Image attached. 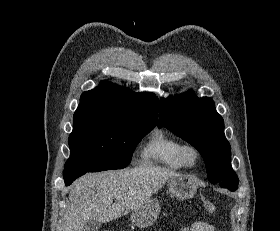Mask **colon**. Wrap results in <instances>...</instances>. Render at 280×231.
I'll return each mask as SVG.
<instances>
[{"label": "colon", "mask_w": 280, "mask_h": 231, "mask_svg": "<svg viewBox=\"0 0 280 231\" xmlns=\"http://www.w3.org/2000/svg\"><path fill=\"white\" fill-rule=\"evenodd\" d=\"M203 207L208 213H215L216 212L215 204L209 199H204L203 200Z\"/></svg>", "instance_id": "obj_1"}]
</instances>
